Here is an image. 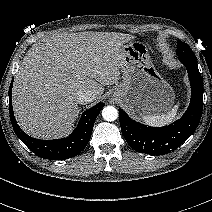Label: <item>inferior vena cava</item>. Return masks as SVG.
I'll return each instance as SVG.
<instances>
[{
	"label": "inferior vena cava",
	"instance_id": "1",
	"mask_svg": "<svg viewBox=\"0 0 212 212\" xmlns=\"http://www.w3.org/2000/svg\"><path fill=\"white\" fill-rule=\"evenodd\" d=\"M77 102L79 104H87L92 102L95 99V94L89 91L80 90L77 92Z\"/></svg>",
	"mask_w": 212,
	"mask_h": 212
}]
</instances>
